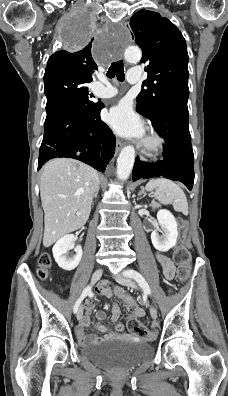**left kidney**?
<instances>
[{
	"mask_svg": "<svg viewBox=\"0 0 228 396\" xmlns=\"http://www.w3.org/2000/svg\"><path fill=\"white\" fill-rule=\"evenodd\" d=\"M157 220L163 235L161 236L157 231H153L151 241L157 250L167 252L176 245L178 237L177 222L172 213L165 209L157 212Z\"/></svg>",
	"mask_w": 228,
	"mask_h": 396,
	"instance_id": "left-kidney-1",
	"label": "left kidney"
}]
</instances>
